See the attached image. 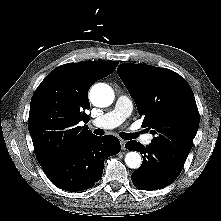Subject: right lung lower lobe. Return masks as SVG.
Returning <instances> with one entry per match:
<instances>
[{"label":"right lung lower lobe","instance_id":"obj_1","mask_svg":"<svg viewBox=\"0 0 221 221\" xmlns=\"http://www.w3.org/2000/svg\"><path fill=\"white\" fill-rule=\"evenodd\" d=\"M119 139L93 136L43 168L51 182L67 191H82L94 186L103 173L107 157L120 152Z\"/></svg>","mask_w":221,"mask_h":221}]
</instances>
